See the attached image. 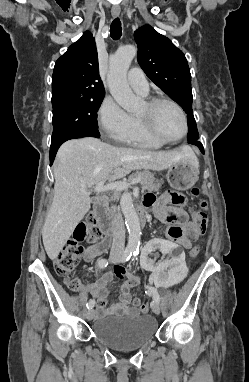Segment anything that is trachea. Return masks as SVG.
<instances>
[{
    "label": "trachea",
    "instance_id": "1",
    "mask_svg": "<svg viewBox=\"0 0 249 382\" xmlns=\"http://www.w3.org/2000/svg\"><path fill=\"white\" fill-rule=\"evenodd\" d=\"M110 35L115 40H117L121 37L122 27H121V22H120L119 18L114 19L113 22L111 23Z\"/></svg>",
    "mask_w": 249,
    "mask_h": 382
}]
</instances>
